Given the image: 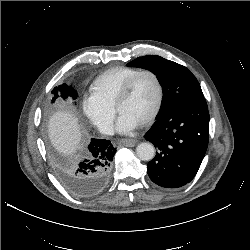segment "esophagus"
<instances>
[{"label": "esophagus", "mask_w": 250, "mask_h": 250, "mask_svg": "<svg viewBox=\"0 0 250 250\" xmlns=\"http://www.w3.org/2000/svg\"><path fill=\"white\" fill-rule=\"evenodd\" d=\"M119 142L125 146L133 147L138 141L136 139H121Z\"/></svg>", "instance_id": "1"}]
</instances>
